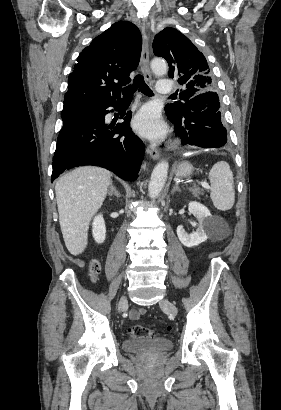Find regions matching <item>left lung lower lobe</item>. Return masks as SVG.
<instances>
[{
  "mask_svg": "<svg viewBox=\"0 0 281 410\" xmlns=\"http://www.w3.org/2000/svg\"><path fill=\"white\" fill-rule=\"evenodd\" d=\"M169 118V117H168ZM183 145L219 148L227 142L217 93L199 94L186 102L180 118H169Z\"/></svg>",
  "mask_w": 281,
  "mask_h": 410,
  "instance_id": "0a47b994",
  "label": "left lung lower lobe"
}]
</instances>
